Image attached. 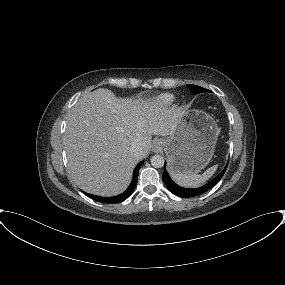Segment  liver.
Instances as JSON below:
<instances>
[{"label": "liver", "mask_w": 285, "mask_h": 285, "mask_svg": "<svg viewBox=\"0 0 285 285\" xmlns=\"http://www.w3.org/2000/svg\"><path fill=\"white\" fill-rule=\"evenodd\" d=\"M184 115L183 107L119 99L104 88L84 95L66 120L64 143L70 177L91 194L122 193L137 162L149 153L152 135H171ZM134 142L142 147L138 157L130 151Z\"/></svg>", "instance_id": "6515ba94"}]
</instances>
